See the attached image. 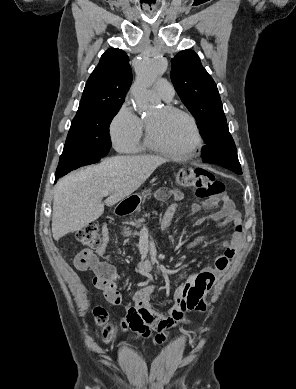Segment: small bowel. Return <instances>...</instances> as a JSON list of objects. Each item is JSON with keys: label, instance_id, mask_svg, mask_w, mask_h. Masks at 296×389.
<instances>
[{"label": "small bowel", "instance_id": "1", "mask_svg": "<svg viewBox=\"0 0 296 389\" xmlns=\"http://www.w3.org/2000/svg\"><path fill=\"white\" fill-rule=\"evenodd\" d=\"M159 200L170 197L174 199L164 220V229L168 230L180 208L183 194L174 189L160 188L156 192ZM201 208H213L206 203L192 205L193 211ZM211 220L218 221L219 226L232 223L234 230L231 239L222 244L221 254L216 257L213 266H205L199 272L189 276L184 282L179 284L172 293L173 308L170 316H161L155 313L150 306V299L154 292L153 286H145L138 289L133 295V306L127 309L122 326L131 330L136 336L152 338L153 341L162 345L166 343L176 328L186 322V313L197 310L204 311L205 296L212 289L215 281L227 269L230 260L234 257L243 242L242 222L239 212L233 203L225 197L222 205L211 217ZM200 219L198 223H202ZM103 243L95 251L83 250L75 257V266L81 271L91 270L94 273L93 285L101 290L105 299L112 305L118 306L122 302V297L117 289L116 281L121 277L115 266L100 260L107 251L109 235L107 228H103ZM204 237H197L189 243L193 247L202 242ZM78 258H84V264L78 263Z\"/></svg>", "mask_w": 296, "mask_h": 389}]
</instances>
